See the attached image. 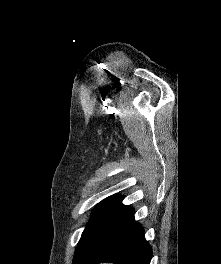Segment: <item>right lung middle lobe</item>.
<instances>
[{"label":"right lung middle lobe","instance_id":"obj_1","mask_svg":"<svg viewBox=\"0 0 221 264\" xmlns=\"http://www.w3.org/2000/svg\"><path fill=\"white\" fill-rule=\"evenodd\" d=\"M120 198V194L112 195L97 205L96 211L94 212L90 222L86 226L81 236L78 247L75 251L74 258L77 257L84 250V248L87 246L89 240L94 235L95 231L97 230L105 216Z\"/></svg>","mask_w":221,"mask_h":264}]
</instances>
